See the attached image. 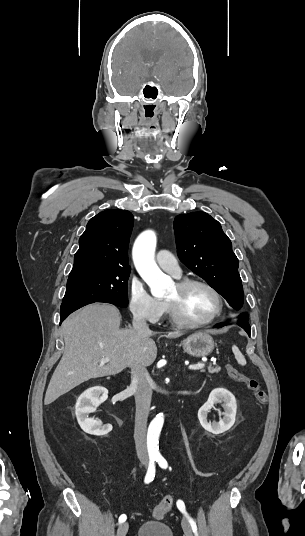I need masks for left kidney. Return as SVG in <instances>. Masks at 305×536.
I'll return each mask as SVG.
<instances>
[{
  "label": "left kidney",
  "instance_id": "obj_1",
  "mask_svg": "<svg viewBox=\"0 0 305 536\" xmlns=\"http://www.w3.org/2000/svg\"><path fill=\"white\" fill-rule=\"evenodd\" d=\"M214 404H221L222 408H224V412L219 410L220 416H224V418H220L219 422H212L211 424V422H208L207 416L214 408ZM236 410L237 404L233 394L228 390H224V388H216V390H212L206 404H203L202 408H200L198 412L199 422L204 430L218 436V434H223V432H227L232 428L235 422Z\"/></svg>",
  "mask_w": 305,
  "mask_h": 536
}]
</instances>
